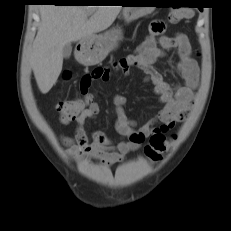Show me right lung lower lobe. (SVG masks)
Returning a JSON list of instances; mask_svg holds the SVG:
<instances>
[{
	"mask_svg": "<svg viewBox=\"0 0 231 231\" xmlns=\"http://www.w3.org/2000/svg\"><path fill=\"white\" fill-rule=\"evenodd\" d=\"M37 2L42 3H54L56 5H76L75 0H37Z\"/></svg>",
	"mask_w": 231,
	"mask_h": 231,
	"instance_id": "98d812e1",
	"label": "right lung lower lobe"
}]
</instances>
